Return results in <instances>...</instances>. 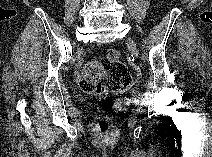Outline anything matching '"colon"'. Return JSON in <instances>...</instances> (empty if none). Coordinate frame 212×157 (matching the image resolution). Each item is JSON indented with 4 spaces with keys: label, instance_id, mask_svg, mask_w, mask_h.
<instances>
[{
    "label": "colon",
    "instance_id": "5ec220e1",
    "mask_svg": "<svg viewBox=\"0 0 212 157\" xmlns=\"http://www.w3.org/2000/svg\"><path fill=\"white\" fill-rule=\"evenodd\" d=\"M132 83V76L124 63L121 53L116 49H110L100 60L86 61L78 79L79 87L86 93H103L124 89ZM112 104H105L106 113H110ZM110 125L107 121L101 120L98 123V130L105 134L109 131Z\"/></svg>",
    "mask_w": 212,
    "mask_h": 157
}]
</instances>
